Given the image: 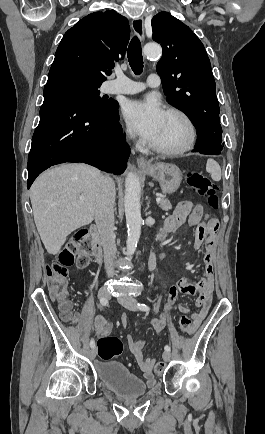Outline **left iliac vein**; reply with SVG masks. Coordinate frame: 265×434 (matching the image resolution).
<instances>
[{
	"instance_id": "1",
	"label": "left iliac vein",
	"mask_w": 265,
	"mask_h": 434,
	"mask_svg": "<svg viewBox=\"0 0 265 434\" xmlns=\"http://www.w3.org/2000/svg\"><path fill=\"white\" fill-rule=\"evenodd\" d=\"M119 303L130 311H136V300L130 296H122L118 298ZM163 359L165 362L171 360V354L169 351H164Z\"/></svg>"
}]
</instances>
